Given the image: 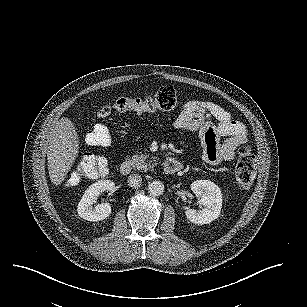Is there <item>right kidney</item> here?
<instances>
[{
  "mask_svg": "<svg viewBox=\"0 0 307 307\" xmlns=\"http://www.w3.org/2000/svg\"><path fill=\"white\" fill-rule=\"evenodd\" d=\"M115 183L111 180H99L91 184L84 192L77 206L78 216L84 220L96 222L109 217L111 214V205L101 203L93 207L102 192L113 193Z\"/></svg>",
  "mask_w": 307,
  "mask_h": 307,
  "instance_id": "right-kidney-1",
  "label": "right kidney"
}]
</instances>
